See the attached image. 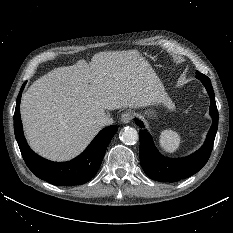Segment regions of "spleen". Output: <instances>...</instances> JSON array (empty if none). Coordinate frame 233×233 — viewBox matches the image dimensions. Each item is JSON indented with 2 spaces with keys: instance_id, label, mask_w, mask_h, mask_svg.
Segmentation results:
<instances>
[{
  "instance_id": "obj_1",
  "label": "spleen",
  "mask_w": 233,
  "mask_h": 233,
  "mask_svg": "<svg viewBox=\"0 0 233 233\" xmlns=\"http://www.w3.org/2000/svg\"><path fill=\"white\" fill-rule=\"evenodd\" d=\"M180 136L173 130H163L159 137V144L163 151L174 153L180 146Z\"/></svg>"
}]
</instances>
